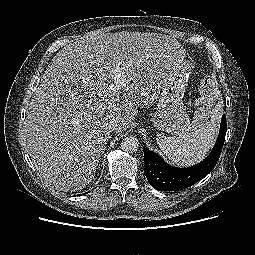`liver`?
<instances>
[{"instance_id": "6515ba94", "label": "liver", "mask_w": 255, "mask_h": 255, "mask_svg": "<svg viewBox=\"0 0 255 255\" xmlns=\"http://www.w3.org/2000/svg\"><path fill=\"white\" fill-rule=\"evenodd\" d=\"M185 57L178 40L149 32L95 33L62 48L25 120L26 149L45 183L66 192L89 184L110 139L109 121L119 122L117 133L127 130ZM116 66L122 68L121 86L111 77Z\"/></svg>"}]
</instances>
